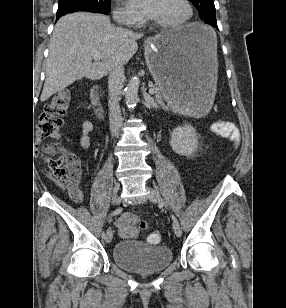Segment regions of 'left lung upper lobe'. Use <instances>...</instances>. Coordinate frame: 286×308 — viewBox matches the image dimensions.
Returning <instances> with one entry per match:
<instances>
[{
	"label": "left lung upper lobe",
	"instance_id": "5c2ea615",
	"mask_svg": "<svg viewBox=\"0 0 286 308\" xmlns=\"http://www.w3.org/2000/svg\"><path fill=\"white\" fill-rule=\"evenodd\" d=\"M199 12L201 19L215 16V6L213 0H189Z\"/></svg>",
	"mask_w": 286,
	"mask_h": 308
}]
</instances>
